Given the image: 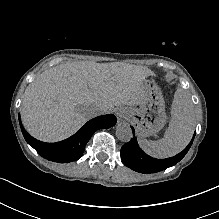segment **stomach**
Here are the masks:
<instances>
[{
    "label": "stomach",
    "mask_w": 219,
    "mask_h": 219,
    "mask_svg": "<svg viewBox=\"0 0 219 219\" xmlns=\"http://www.w3.org/2000/svg\"><path fill=\"white\" fill-rule=\"evenodd\" d=\"M146 97L137 107H127L126 112L137 133L144 138L160 131L166 123L165 102L161 90L153 79L145 80Z\"/></svg>",
    "instance_id": "1"
}]
</instances>
